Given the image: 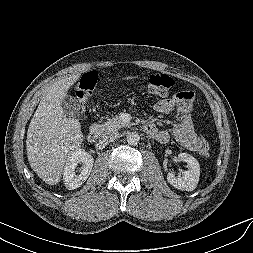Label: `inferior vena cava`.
Wrapping results in <instances>:
<instances>
[{"mask_svg": "<svg viewBox=\"0 0 253 253\" xmlns=\"http://www.w3.org/2000/svg\"><path fill=\"white\" fill-rule=\"evenodd\" d=\"M118 137H119V133L118 132H111V133L103 135L101 137L100 141L102 143L108 144V143L113 142L114 140H116Z\"/></svg>", "mask_w": 253, "mask_h": 253, "instance_id": "1", "label": "inferior vena cava"}]
</instances>
